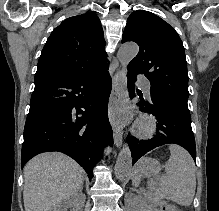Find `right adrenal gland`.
I'll use <instances>...</instances> for the list:
<instances>
[{
	"instance_id": "1",
	"label": "right adrenal gland",
	"mask_w": 219,
	"mask_h": 211,
	"mask_svg": "<svg viewBox=\"0 0 219 211\" xmlns=\"http://www.w3.org/2000/svg\"><path fill=\"white\" fill-rule=\"evenodd\" d=\"M82 189H83V185L82 187H79L78 191H75V195H81Z\"/></svg>"
}]
</instances>
